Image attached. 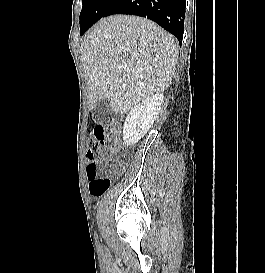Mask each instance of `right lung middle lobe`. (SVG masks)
<instances>
[{"mask_svg": "<svg viewBox=\"0 0 265 273\" xmlns=\"http://www.w3.org/2000/svg\"><path fill=\"white\" fill-rule=\"evenodd\" d=\"M115 0H82L80 34L83 35L94 23L104 17Z\"/></svg>", "mask_w": 265, "mask_h": 273, "instance_id": "1", "label": "right lung middle lobe"}]
</instances>
